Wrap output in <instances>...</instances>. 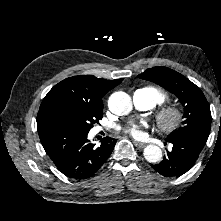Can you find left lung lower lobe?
<instances>
[{
    "mask_svg": "<svg viewBox=\"0 0 221 221\" xmlns=\"http://www.w3.org/2000/svg\"><path fill=\"white\" fill-rule=\"evenodd\" d=\"M208 136L209 131H197L167 139L173 144L172 151H167L164 159L152 167L165 177H179L185 174L194 166Z\"/></svg>",
    "mask_w": 221,
    "mask_h": 221,
    "instance_id": "0a47b994",
    "label": "left lung lower lobe"
}]
</instances>
